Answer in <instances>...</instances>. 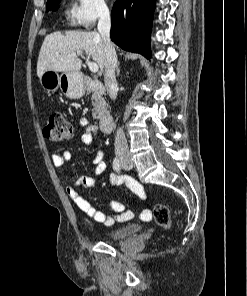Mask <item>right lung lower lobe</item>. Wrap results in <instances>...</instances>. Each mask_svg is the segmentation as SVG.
<instances>
[{
    "label": "right lung lower lobe",
    "instance_id": "obj_1",
    "mask_svg": "<svg viewBox=\"0 0 247 296\" xmlns=\"http://www.w3.org/2000/svg\"><path fill=\"white\" fill-rule=\"evenodd\" d=\"M155 0H123L111 12V40L122 49L152 57L150 34Z\"/></svg>",
    "mask_w": 247,
    "mask_h": 296
}]
</instances>
